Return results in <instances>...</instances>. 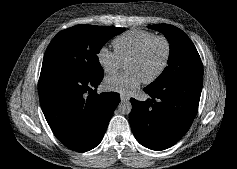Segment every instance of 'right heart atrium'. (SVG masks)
<instances>
[{"label":"right heart atrium","instance_id":"right-heart-atrium-1","mask_svg":"<svg viewBox=\"0 0 237 169\" xmlns=\"http://www.w3.org/2000/svg\"><path fill=\"white\" fill-rule=\"evenodd\" d=\"M97 61L103 70L109 74L119 70L123 63L116 51H113L106 46L99 48L97 52Z\"/></svg>","mask_w":237,"mask_h":169}]
</instances>
